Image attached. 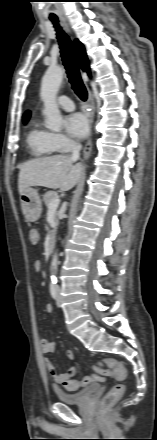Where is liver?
I'll return each mask as SVG.
<instances>
[{"mask_svg": "<svg viewBox=\"0 0 157 440\" xmlns=\"http://www.w3.org/2000/svg\"><path fill=\"white\" fill-rule=\"evenodd\" d=\"M83 173V165H73L71 158L65 155L33 159L20 166L18 190L20 195L33 186L68 191L79 182Z\"/></svg>", "mask_w": 157, "mask_h": 440, "instance_id": "obj_1", "label": "liver"}]
</instances>
